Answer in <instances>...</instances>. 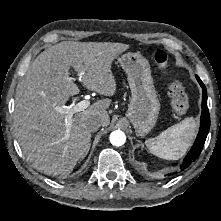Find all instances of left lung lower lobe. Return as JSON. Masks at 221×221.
Masks as SVG:
<instances>
[{
    "instance_id": "left-lung-lower-lobe-1",
    "label": "left lung lower lobe",
    "mask_w": 221,
    "mask_h": 221,
    "mask_svg": "<svg viewBox=\"0 0 221 221\" xmlns=\"http://www.w3.org/2000/svg\"><path fill=\"white\" fill-rule=\"evenodd\" d=\"M196 78H197L200 86L202 87V93H203L200 130H199V133L197 135V138L195 140L193 147L191 148V150L189 151V153L186 155V157L184 158V160L182 162V165L180 167L181 171H183L188 166H190L191 163H193L200 155V153L203 149V145L205 143L206 137L209 132V127H210V116H209V111H208V107H207L206 88H205L203 82L200 80V78L198 76H196ZM174 174H177V172H175Z\"/></svg>"
}]
</instances>
